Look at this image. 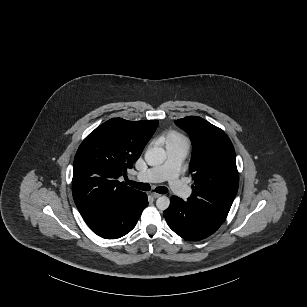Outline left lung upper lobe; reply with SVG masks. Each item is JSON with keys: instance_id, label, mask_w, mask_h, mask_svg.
<instances>
[{"instance_id": "1", "label": "left lung upper lobe", "mask_w": 307, "mask_h": 307, "mask_svg": "<svg viewBox=\"0 0 307 307\" xmlns=\"http://www.w3.org/2000/svg\"><path fill=\"white\" fill-rule=\"evenodd\" d=\"M190 136V162L195 186L187 202L203 215L223 223L237 194L239 175L234 147L223 130L188 116L175 121Z\"/></svg>"}]
</instances>
